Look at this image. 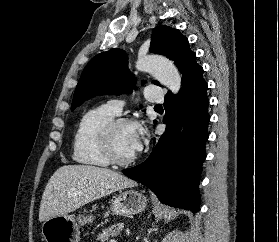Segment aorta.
<instances>
[{"instance_id":"1","label":"aorta","mask_w":279,"mask_h":242,"mask_svg":"<svg viewBox=\"0 0 279 242\" xmlns=\"http://www.w3.org/2000/svg\"><path fill=\"white\" fill-rule=\"evenodd\" d=\"M136 68L152 74L162 85L174 94L181 87V75L175 65L165 57L157 55L139 56Z\"/></svg>"}]
</instances>
